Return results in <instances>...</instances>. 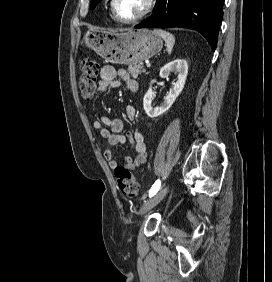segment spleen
Instances as JSON below:
<instances>
[{
	"label": "spleen",
	"instance_id": "spleen-1",
	"mask_svg": "<svg viewBox=\"0 0 272 282\" xmlns=\"http://www.w3.org/2000/svg\"><path fill=\"white\" fill-rule=\"evenodd\" d=\"M153 32L155 35L161 37L165 41L166 50L170 54L175 44V37L171 33L161 29H155Z\"/></svg>",
	"mask_w": 272,
	"mask_h": 282
}]
</instances>
